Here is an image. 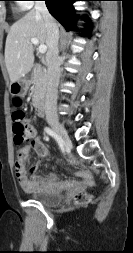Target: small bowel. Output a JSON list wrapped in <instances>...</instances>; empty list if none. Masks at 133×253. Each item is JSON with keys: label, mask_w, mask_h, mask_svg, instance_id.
Listing matches in <instances>:
<instances>
[{"label": "small bowel", "mask_w": 133, "mask_h": 253, "mask_svg": "<svg viewBox=\"0 0 133 253\" xmlns=\"http://www.w3.org/2000/svg\"><path fill=\"white\" fill-rule=\"evenodd\" d=\"M31 149H34L42 158L49 156L48 148L44 145L41 138L35 134L29 143L19 149L18 154L20 156H25L31 151ZM35 171L36 168H32L28 174L22 164L16 163L15 165V174L18 184L25 192H36L45 187V181L40 176L36 175ZM78 176L81 178V183L77 185V187L91 186L93 184L92 174L88 170L81 169L78 172Z\"/></svg>", "instance_id": "obj_1"}]
</instances>
